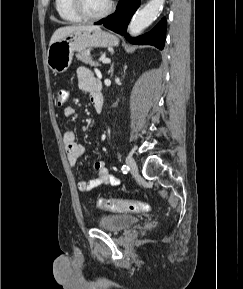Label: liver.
Wrapping results in <instances>:
<instances>
[{"instance_id": "obj_1", "label": "liver", "mask_w": 243, "mask_h": 289, "mask_svg": "<svg viewBox=\"0 0 243 289\" xmlns=\"http://www.w3.org/2000/svg\"><path fill=\"white\" fill-rule=\"evenodd\" d=\"M99 26H94V25H71V26H65V27H60L58 28L52 35L50 39L49 46L52 45L53 43L59 41L63 37L67 36L68 34L74 32V31H79V30H99Z\"/></svg>"}]
</instances>
